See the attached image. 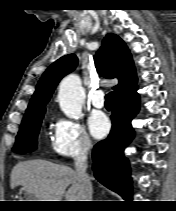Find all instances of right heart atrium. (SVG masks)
<instances>
[{
  "instance_id": "right-heart-atrium-1",
  "label": "right heart atrium",
  "mask_w": 176,
  "mask_h": 211,
  "mask_svg": "<svg viewBox=\"0 0 176 211\" xmlns=\"http://www.w3.org/2000/svg\"><path fill=\"white\" fill-rule=\"evenodd\" d=\"M92 146L88 133L79 121L57 117L51 138V148L56 155L75 158L87 154Z\"/></svg>"
}]
</instances>
